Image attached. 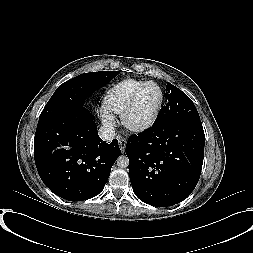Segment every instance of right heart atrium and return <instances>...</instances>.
<instances>
[{
    "label": "right heart atrium",
    "instance_id": "1",
    "mask_svg": "<svg viewBox=\"0 0 253 253\" xmlns=\"http://www.w3.org/2000/svg\"><path fill=\"white\" fill-rule=\"evenodd\" d=\"M100 117L105 127L112 129L115 126L116 124L115 117L109 111L105 109L101 110Z\"/></svg>",
    "mask_w": 253,
    "mask_h": 253
}]
</instances>
